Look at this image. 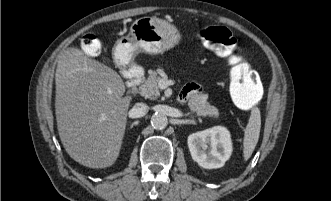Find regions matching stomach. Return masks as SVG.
Instances as JSON below:
<instances>
[{
	"label": "stomach",
	"mask_w": 331,
	"mask_h": 201,
	"mask_svg": "<svg viewBox=\"0 0 331 201\" xmlns=\"http://www.w3.org/2000/svg\"><path fill=\"white\" fill-rule=\"evenodd\" d=\"M177 29L156 17H141L130 27V34L117 40L114 52L121 66H130L139 52L161 54L180 41Z\"/></svg>",
	"instance_id": "1"
}]
</instances>
